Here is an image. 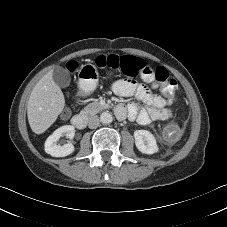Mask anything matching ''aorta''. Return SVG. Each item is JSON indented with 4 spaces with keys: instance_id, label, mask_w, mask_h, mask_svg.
I'll list each match as a JSON object with an SVG mask.
<instances>
[{
    "instance_id": "aorta-1",
    "label": "aorta",
    "mask_w": 227,
    "mask_h": 227,
    "mask_svg": "<svg viewBox=\"0 0 227 227\" xmlns=\"http://www.w3.org/2000/svg\"><path fill=\"white\" fill-rule=\"evenodd\" d=\"M100 121L103 124H110L113 121V116L110 112L105 111L100 115Z\"/></svg>"
}]
</instances>
